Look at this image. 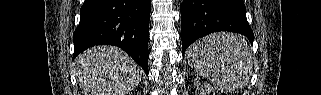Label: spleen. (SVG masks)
<instances>
[{"label": "spleen", "instance_id": "spleen-1", "mask_svg": "<svg viewBox=\"0 0 321 95\" xmlns=\"http://www.w3.org/2000/svg\"><path fill=\"white\" fill-rule=\"evenodd\" d=\"M188 63L224 91L242 89L252 72V57L247 41L238 34L206 36L188 49Z\"/></svg>", "mask_w": 321, "mask_h": 95}]
</instances>
